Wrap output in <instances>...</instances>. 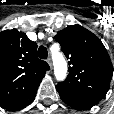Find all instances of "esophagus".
I'll list each match as a JSON object with an SVG mask.
<instances>
[{"mask_svg": "<svg viewBox=\"0 0 114 114\" xmlns=\"http://www.w3.org/2000/svg\"><path fill=\"white\" fill-rule=\"evenodd\" d=\"M47 63L50 66V68L52 69V59H51V57H48Z\"/></svg>", "mask_w": 114, "mask_h": 114, "instance_id": "34e87169", "label": "esophagus"}]
</instances>
